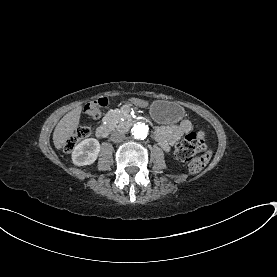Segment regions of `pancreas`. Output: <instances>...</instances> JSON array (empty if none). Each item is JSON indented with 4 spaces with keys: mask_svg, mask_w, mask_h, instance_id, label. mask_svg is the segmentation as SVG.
Here are the masks:
<instances>
[{
    "mask_svg": "<svg viewBox=\"0 0 277 277\" xmlns=\"http://www.w3.org/2000/svg\"><path fill=\"white\" fill-rule=\"evenodd\" d=\"M107 119L110 121V122H117L119 119H120V112L117 110V109H110L108 112H107Z\"/></svg>",
    "mask_w": 277,
    "mask_h": 277,
    "instance_id": "obj_1",
    "label": "pancreas"
}]
</instances>
